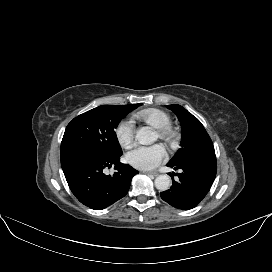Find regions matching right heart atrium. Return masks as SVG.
I'll use <instances>...</instances> for the list:
<instances>
[{
  "label": "right heart atrium",
  "instance_id": "obj_1",
  "mask_svg": "<svg viewBox=\"0 0 272 272\" xmlns=\"http://www.w3.org/2000/svg\"><path fill=\"white\" fill-rule=\"evenodd\" d=\"M116 138L123 148H129L134 141L135 125L129 119L121 120L115 129Z\"/></svg>",
  "mask_w": 272,
  "mask_h": 272
}]
</instances>
